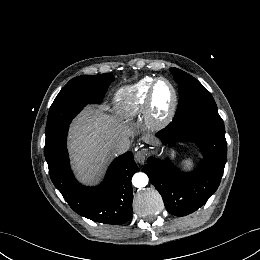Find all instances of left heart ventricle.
<instances>
[{
	"label": "left heart ventricle",
	"mask_w": 260,
	"mask_h": 260,
	"mask_svg": "<svg viewBox=\"0 0 260 260\" xmlns=\"http://www.w3.org/2000/svg\"><path fill=\"white\" fill-rule=\"evenodd\" d=\"M172 100L173 95L170 87L164 82H159L154 96V107L156 113L159 116L166 115L171 107Z\"/></svg>",
	"instance_id": "obj_1"
}]
</instances>
